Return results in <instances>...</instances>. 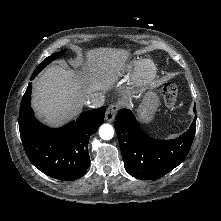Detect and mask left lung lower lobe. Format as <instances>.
Segmentation results:
<instances>
[{"label":"left lung lower lobe","instance_id":"1","mask_svg":"<svg viewBox=\"0 0 221 221\" xmlns=\"http://www.w3.org/2000/svg\"><path fill=\"white\" fill-rule=\"evenodd\" d=\"M114 127L126 171L135 178L153 180L164 176L186 158L196 131V116L190 128L173 140L147 136L128 109L120 110Z\"/></svg>","mask_w":221,"mask_h":221}]
</instances>
